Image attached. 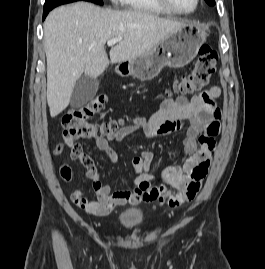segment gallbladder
I'll return each mask as SVG.
<instances>
[{"instance_id":"1","label":"gallbladder","mask_w":265,"mask_h":269,"mask_svg":"<svg viewBox=\"0 0 265 269\" xmlns=\"http://www.w3.org/2000/svg\"><path fill=\"white\" fill-rule=\"evenodd\" d=\"M99 88V80L82 75L73 88L70 99L72 108H80L94 98Z\"/></svg>"}]
</instances>
